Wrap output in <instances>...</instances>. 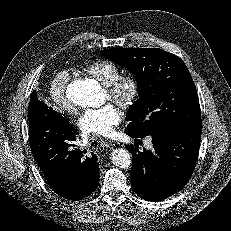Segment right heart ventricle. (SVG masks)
Returning <instances> with one entry per match:
<instances>
[{
    "label": "right heart ventricle",
    "mask_w": 231,
    "mask_h": 231,
    "mask_svg": "<svg viewBox=\"0 0 231 231\" xmlns=\"http://www.w3.org/2000/svg\"><path fill=\"white\" fill-rule=\"evenodd\" d=\"M83 71L104 87L111 85L121 75V69L116 64L105 60L95 61L85 66Z\"/></svg>",
    "instance_id": "e07e8e85"
}]
</instances>
